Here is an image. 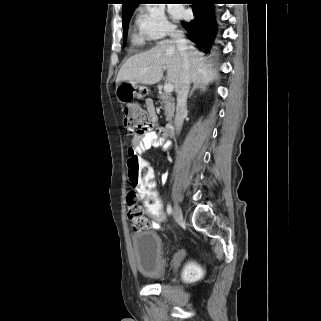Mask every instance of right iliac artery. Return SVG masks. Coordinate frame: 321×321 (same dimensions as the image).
<instances>
[{"label":"right iliac artery","mask_w":321,"mask_h":321,"mask_svg":"<svg viewBox=\"0 0 321 321\" xmlns=\"http://www.w3.org/2000/svg\"><path fill=\"white\" fill-rule=\"evenodd\" d=\"M167 213L168 215L172 213V207L170 205L167 206Z\"/></svg>","instance_id":"right-iliac-artery-1"}]
</instances>
